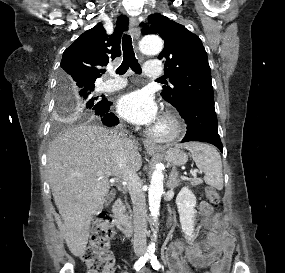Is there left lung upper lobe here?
<instances>
[{
    "label": "left lung upper lobe",
    "mask_w": 285,
    "mask_h": 273,
    "mask_svg": "<svg viewBox=\"0 0 285 273\" xmlns=\"http://www.w3.org/2000/svg\"><path fill=\"white\" fill-rule=\"evenodd\" d=\"M148 18L151 26L144 24L143 34H157L165 41L158 58L164 60L172 86H164L161 96L173 106L214 100L211 70L200 38L159 13Z\"/></svg>",
    "instance_id": "obj_1"
}]
</instances>
